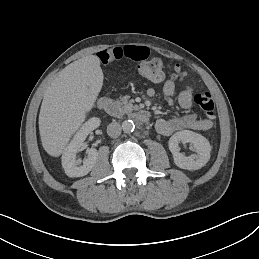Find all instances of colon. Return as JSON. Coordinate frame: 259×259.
I'll use <instances>...</instances> for the list:
<instances>
[{"instance_id":"obj_1","label":"colon","mask_w":259,"mask_h":259,"mask_svg":"<svg viewBox=\"0 0 259 259\" xmlns=\"http://www.w3.org/2000/svg\"><path fill=\"white\" fill-rule=\"evenodd\" d=\"M138 74L144 80L154 84L160 83L166 74L174 79L183 80L185 78V74L178 66H170L167 70V66L160 58L143 62L138 67ZM194 102L202 108L208 119H214V102L209 92L197 93L194 96Z\"/></svg>"}]
</instances>
